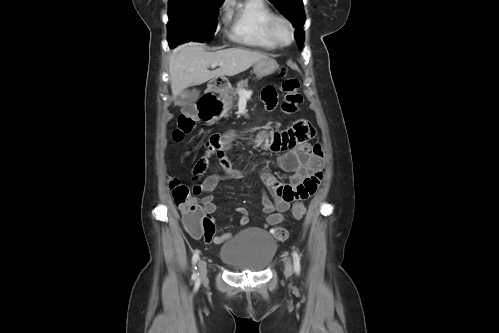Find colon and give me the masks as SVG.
<instances>
[{"instance_id": "5ec220e1", "label": "colon", "mask_w": 499, "mask_h": 333, "mask_svg": "<svg viewBox=\"0 0 499 333\" xmlns=\"http://www.w3.org/2000/svg\"><path fill=\"white\" fill-rule=\"evenodd\" d=\"M281 90L284 94L281 109L284 114L293 115L298 110L303 101V97L299 92V82L296 78L286 76L283 73ZM210 102L218 111L221 107L219 101L210 97ZM196 125V118L189 112H185L178 117L177 125L173 131V139L177 142L191 133ZM170 190L173 201L177 208L183 214V224L188 232L192 235L203 237L206 242H209L215 233L214 223L202 205L191 195L187 185L174 179L170 182ZM306 213L305 206L300 203H294L292 207V216L294 219H301ZM275 239L284 241L288 237V231L284 227H275L271 231Z\"/></svg>"}]
</instances>
